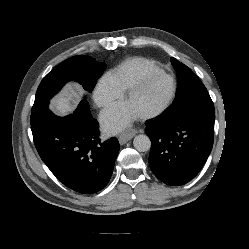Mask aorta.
Segmentation results:
<instances>
[{
    "mask_svg": "<svg viewBox=\"0 0 249 249\" xmlns=\"http://www.w3.org/2000/svg\"><path fill=\"white\" fill-rule=\"evenodd\" d=\"M133 145L137 151L146 152L151 147V141L148 136L140 134L135 136Z\"/></svg>",
    "mask_w": 249,
    "mask_h": 249,
    "instance_id": "1",
    "label": "aorta"
}]
</instances>
